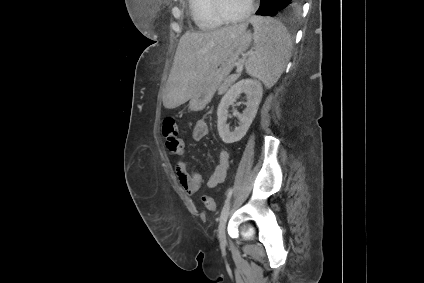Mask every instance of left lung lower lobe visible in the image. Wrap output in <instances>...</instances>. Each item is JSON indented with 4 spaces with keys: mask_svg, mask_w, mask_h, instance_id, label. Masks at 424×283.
I'll list each match as a JSON object with an SVG mask.
<instances>
[{
    "mask_svg": "<svg viewBox=\"0 0 424 283\" xmlns=\"http://www.w3.org/2000/svg\"><path fill=\"white\" fill-rule=\"evenodd\" d=\"M303 0H261L256 15L275 16L277 14H295L301 9Z\"/></svg>",
    "mask_w": 424,
    "mask_h": 283,
    "instance_id": "obj_1",
    "label": "left lung lower lobe"
}]
</instances>
